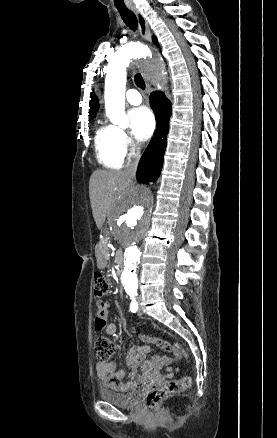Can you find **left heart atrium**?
<instances>
[{
    "mask_svg": "<svg viewBox=\"0 0 277 438\" xmlns=\"http://www.w3.org/2000/svg\"><path fill=\"white\" fill-rule=\"evenodd\" d=\"M132 120L133 131L137 138L147 140L154 130V116L146 107L133 109L130 112Z\"/></svg>",
    "mask_w": 277,
    "mask_h": 438,
    "instance_id": "obj_1",
    "label": "left heart atrium"
}]
</instances>
